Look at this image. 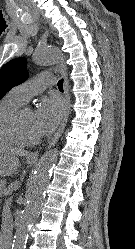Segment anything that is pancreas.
Here are the masks:
<instances>
[{
	"mask_svg": "<svg viewBox=\"0 0 135 249\" xmlns=\"http://www.w3.org/2000/svg\"><path fill=\"white\" fill-rule=\"evenodd\" d=\"M15 186H16V184H12V185L8 186L7 188L2 187V188H0V193L3 195H7L14 189Z\"/></svg>",
	"mask_w": 135,
	"mask_h": 249,
	"instance_id": "pancreas-1",
	"label": "pancreas"
}]
</instances>
